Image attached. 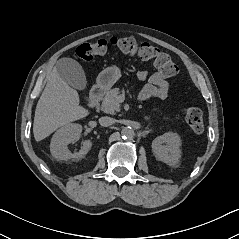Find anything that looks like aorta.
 Here are the masks:
<instances>
[{"label":"aorta","instance_id":"1","mask_svg":"<svg viewBox=\"0 0 239 239\" xmlns=\"http://www.w3.org/2000/svg\"><path fill=\"white\" fill-rule=\"evenodd\" d=\"M121 134L123 135V137L131 139L134 136V129L131 127H124L121 131Z\"/></svg>","mask_w":239,"mask_h":239}]
</instances>
